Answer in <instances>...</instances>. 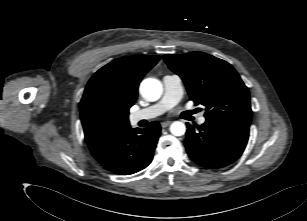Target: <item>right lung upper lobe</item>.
Here are the masks:
<instances>
[{"mask_svg": "<svg viewBox=\"0 0 307 221\" xmlns=\"http://www.w3.org/2000/svg\"><path fill=\"white\" fill-rule=\"evenodd\" d=\"M160 56L114 60L99 69L86 85L80 102L81 121L91 153L130 128L129 108L138 86Z\"/></svg>", "mask_w": 307, "mask_h": 221, "instance_id": "1", "label": "right lung upper lobe"}]
</instances>
